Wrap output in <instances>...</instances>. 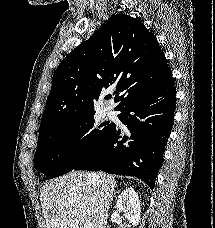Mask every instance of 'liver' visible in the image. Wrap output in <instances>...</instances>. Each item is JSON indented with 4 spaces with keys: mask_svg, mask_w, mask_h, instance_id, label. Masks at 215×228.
<instances>
[{
    "mask_svg": "<svg viewBox=\"0 0 215 228\" xmlns=\"http://www.w3.org/2000/svg\"><path fill=\"white\" fill-rule=\"evenodd\" d=\"M115 188L114 176L104 172H69L49 180L40 190L46 228H107Z\"/></svg>",
    "mask_w": 215,
    "mask_h": 228,
    "instance_id": "6515ba94",
    "label": "liver"
}]
</instances>
